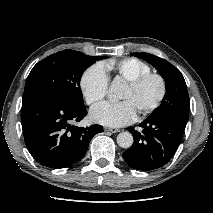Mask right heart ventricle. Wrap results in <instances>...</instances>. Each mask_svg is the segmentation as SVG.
I'll list each match as a JSON object with an SVG mask.
<instances>
[{
    "label": "right heart ventricle",
    "mask_w": 213,
    "mask_h": 213,
    "mask_svg": "<svg viewBox=\"0 0 213 213\" xmlns=\"http://www.w3.org/2000/svg\"><path fill=\"white\" fill-rule=\"evenodd\" d=\"M102 66L105 71L112 70L117 77L127 82L151 72L150 66L137 58H125L113 63H105Z\"/></svg>",
    "instance_id": "right-heart-ventricle-1"
}]
</instances>
